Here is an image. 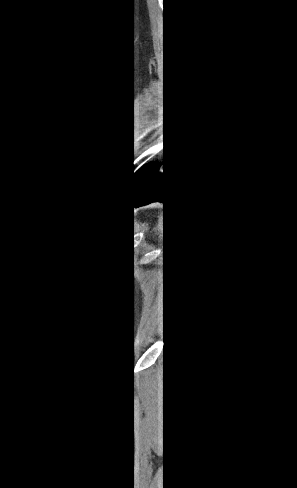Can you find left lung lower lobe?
Listing matches in <instances>:
<instances>
[{"mask_svg":"<svg viewBox=\"0 0 297 488\" xmlns=\"http://www.w3.org/2000/svg\"><path fill=\"white\" fill-rule=\"evenodd\" d=\"M169 168L164 166L161 178H159L158 173H153L148 178H142L140 180V185L137 187V192L139 196V202H152V201H163L166 205L169 199L168 189L170 187L168 182H170L171 177L169 176Z\"/></svg>","mask_w":297,"mask_h":488,"instance_id":"0a47b994","label":"left lung lower lobe"}]
</instances>
